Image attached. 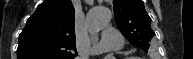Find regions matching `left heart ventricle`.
<instances>
[{
	"mask_svg": "<svg viewBox=\"0 0 193 59\" xmlns=\"http://www.w3.org/2000/svg\"><path fill=\"white\" fill-rule=\"evenodd\" d=\"M103 54L107 55L109 59H112V56L114 54V50L111 48H106L102 51Z\"/></svg>",
	"mask_w": 193,
	"mask_h": 59,
	"instance_id": "left-heart-ventricle-1",
	"label": "left heart ventricle"
}]
</instances>
